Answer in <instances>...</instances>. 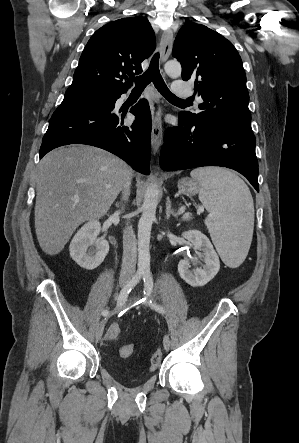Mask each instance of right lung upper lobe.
I'll use <instances>...</instances> for the list:
<instances>
[{"label":"right lung upper lobe","mask_w":299,"mask_h":443,"mask_svg":"<svg viewBox=\"0 0 299 443\" xmlns=\"http://www.w3.org/2000/svg\"><path fill=\"white\" fill-rule=\"evenodd\" d=\"M155 47V34L146 17L112 21L88 41L70 87L115 94L127 91L134 75L142 72L141 62L151 56ZM127 76L128 81L123 83Z\"/></svg>","instance_id":"obj_1"}]
</instances>
